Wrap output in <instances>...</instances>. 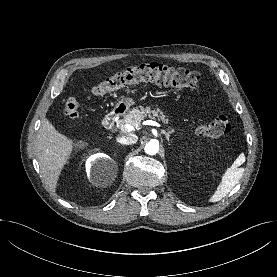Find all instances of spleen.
Wrapping results in <instances>:
<instances>
[{"label":"spleen","mask_w":277,"mask_h":277,"mask_svg":"<svg viewBox=\"0 0 277 277\" xmlns=\"http://www.w3.org/2000/svg\"><path fill=\"white\" fill-rule=\"evenodd\" d=\"M244 172V168H238L237 165L233 164L230 168L226 170V172L222 176V180L217 187V190L209 199L210 202H218L223 199L239 182L242 174Z\"/></svg>","instance_id":"spleen-1"}]
</instances>
